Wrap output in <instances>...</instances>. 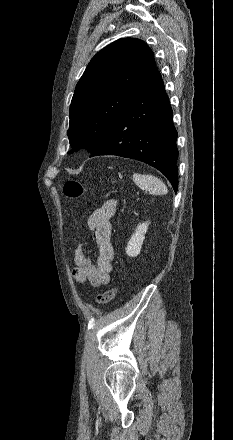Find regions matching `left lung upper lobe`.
<instances>
[{
	"mask_svg": "<svg viewBox=\"0 0 233 440\" xmlns=\"http://www.w3.org/2000/svg\"><path fill=\"white\" fill-rule=\"evenodd\" d=\"M155 69L152 50L139 39L122 38L99 51L71 101L67 135L74 150L86 148L92 153Z\"/></svg>",
	"mask_w": 233,
	"mask_h": 440,
	"instance_id": "left-lung-upper-lobe-1",
	"label": "left lung upper lobe"
}]
</instances>
